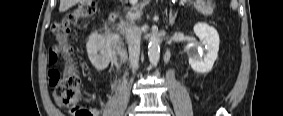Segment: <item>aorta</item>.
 Wrapping results in <instances>:
<instances>
[{
    "mask_svg": "<svg viewBox=\"0 0 283 116\" xmlns=\"http://www.w3.org/2000/svg\"><path fill=\"white\" fill-rule=\"evenodd\" d=\"M160 39L152 33L149 38L148 57L152 65L156 66L160 59Z\"/></svg>",
    "mask_w": 283,
    "mask_h": 116,
    "instance_id": "aorta-1",
    "label": "aorta"
}]
</instances>
